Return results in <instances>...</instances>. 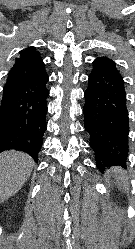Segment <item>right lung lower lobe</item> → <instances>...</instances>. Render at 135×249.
<instances>
[{
    "label": "right lung lower lobe",
    "instance_id": "obj_1",
    "mask_svg": "<svg viewBox=\"0 0 135 249\" xmlns=\"http://www.w3.org/2000/svg\"><path fill=\"white\" fill-rule=\"evenodd\" d=\"M47 74L6 83L0 104V152L19 150L35 161L46 130Z\"/></svg>",
    "mask_w": 135,
    "mask_h": 249
}]
</instances>
